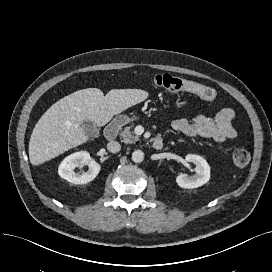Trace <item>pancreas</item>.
<instances>
[{"mask_svg":"<svg viewBox=\"0 0 272 272\" xmlns=\"http://www.w3.org/2000/svg\"><path fill=\"white\" fill-rule=\"evenodd\" d=\"M131 129L132 126H127L120 133V137L124 143H135L140 139V137L135 135V133L132 132Z\"/></svg>","mask_w":272,"mask_h":272,"instance_id":"1","label":"pancreas"}]
</instances>
